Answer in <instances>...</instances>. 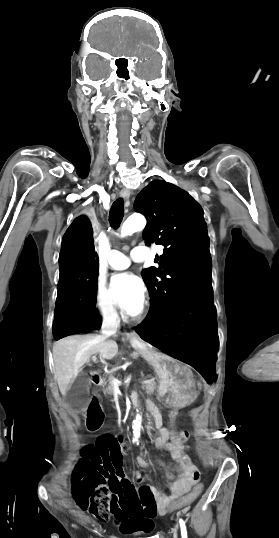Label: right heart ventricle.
Listing matches in <instances>:
<instances>
[{"label": "right heart ventricle", "instance_id": "e07e8e85", "mask_svg": "<svg viewBox=\"0 0 279 538\" xmlns=\"http://www.w3.org/2000/svg\"><path fill=\"white\" fill-rule=\"evenodd\" d=\"M131 224H132V219H131V216L128 214V215H125L119 226H118V230H117V233L118 235L122 236V235H126L128 233L131 232Z\"/></svg>", "mask_w": 279, "mask_h": 538}]
</instances>
